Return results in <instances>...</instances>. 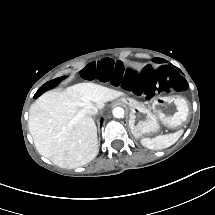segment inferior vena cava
<instances>
[{"label": "inferior vena cava", "mask_w": 215, "mask_h": 215, "mask_svg": "<svg viewBox=\"0 0 215 215\" xmlns=\"http://www.w3.org/2000/svg\"><path fill=\"white\" fill-rule=\"evenodd\" d=\"M82 112L87 115H96L97 114V108L93 105H86Z\"/></svg>", "instance_id": "1"}]
</instances>
